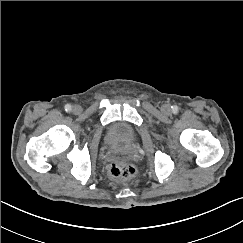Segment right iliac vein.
Listing matches in <instances>:
<instances>
[{"label": "right iliac vein", "instance_id": "1", "mask_svg": "<svg viewBox=\"0 0 243 243\" xmlns=\"http://www.w3.org/2000/svg\"><path fill=\"white\" fill-rule=\"evenodd\" d=\"M81 111H82V108H81L80 105H73V107H72V112H73L74 114H80Z\"/></svg>", "mask_w": 243, "mask_h": 243}]
</instances>
